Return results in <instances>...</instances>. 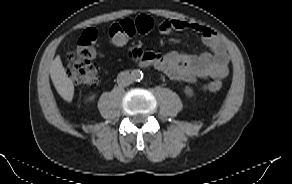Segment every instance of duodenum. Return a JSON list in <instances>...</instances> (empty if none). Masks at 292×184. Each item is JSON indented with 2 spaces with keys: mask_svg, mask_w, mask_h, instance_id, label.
Here are the masks:
<instances>
[{
  "mask_svg": "<svg viewBox=\"0 0 292 184\" xmlns=\"http://www.w3.org/2000/svg\"><path fill=\"white\" fill-rule=\"evenodd\" d=\"M143 56H144V53L141 56V62H142L141 65H146V64L151 63V58L145 59Z\"/></svg>",
  "mask_w": 292,
  "mask_h": 184,
  "instance_id": "duodenum-1",
  "label": "duodenum"
}]
</instances>
